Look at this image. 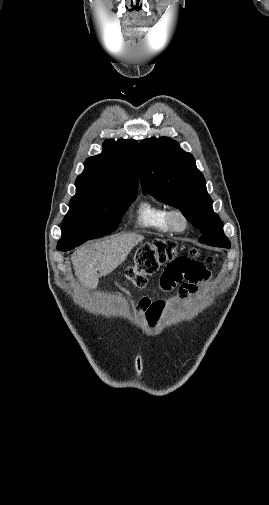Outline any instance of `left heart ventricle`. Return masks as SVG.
Masks as SVG:
<instances>
[{"label":"left heart ventricle","mask_w":269,"mask_h":505,"mask_svg":"<svg viewBox=\"0 0 269 505\" xmlns=\"http://www.w3.org/2000/svg\"><path fill=\"white\" fill-rule=\"evenodd\" d=\"M176 223H177V225H178V226H180V227L183 225V223H182V221H181L180 219H177Z\"/></svg>","instance_id":"left-heart-ventricle-1"}]
</instances>
